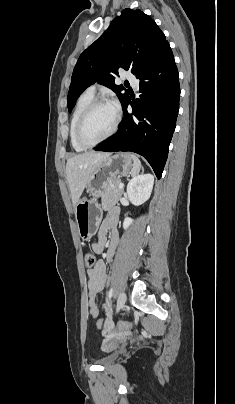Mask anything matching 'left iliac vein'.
<instances>
[{"mask_svg": "<svg viewBox=\"0 0 235 404\" xmlns=\"http://www.w3.org/2000/svg\"><path fill=\"white\" fill-rule=\"evenodd\" d=\"M125 302H126V294L124 292H121L117 299V312L124 307Z\"/></svg>", "mask_w": 235, "mask_h": 404, "instance_id": "obj_1", "label": "left iliac vein"}]
</instances>
